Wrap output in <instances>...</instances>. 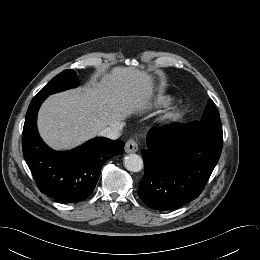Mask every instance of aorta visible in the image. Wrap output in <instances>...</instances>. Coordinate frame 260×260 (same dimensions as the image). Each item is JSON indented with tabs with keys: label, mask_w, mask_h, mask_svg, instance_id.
<instances>
[{
	"label": "aorta",
	"mask_w": 260,
	"mask_h": 260,
	"mask_svg": "<svg viewBox=\"0 0 260 260\" xmlns=\"http://www.w3.org/2000/svg\"><path fill=\"white\" fill-rule=\"evenodd\" d=\"M124 167L131 172H139L143 168V159L137 154H129L124 158Z\"/></svg>",
	"instance_id": "762f6f07"
}]
</instances>
